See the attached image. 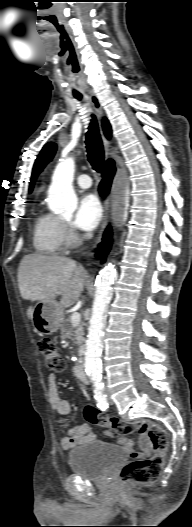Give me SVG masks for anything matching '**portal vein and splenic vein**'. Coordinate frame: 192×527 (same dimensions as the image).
Wrapping results in <instances>:
<instances>
[{"label": "portal vein and splenic vein", "instance_id": "portal-vein-and-splenic-vein-1", "mask_svg": "<svg viewBox=\"0 0 192 527\" xmlns=\"http://www.w3.org/2000/svg\"><path fill=\"white\" fill-rule=\"evenodd\" d=\"M81 321V315L78 312H74L71 315V323L73 326H77Z\"/></svg>", "mask_w": 192, "mask_h": 527}]
</instances>
